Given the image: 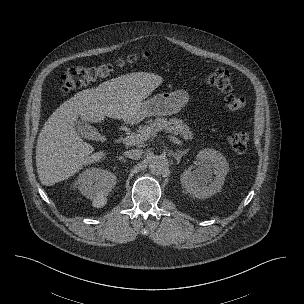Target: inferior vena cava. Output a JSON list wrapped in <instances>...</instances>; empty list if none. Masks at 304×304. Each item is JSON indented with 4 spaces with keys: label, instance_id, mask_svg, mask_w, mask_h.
Segmentation results:
<instances>
[{
    "label": "inferior vena cava",
    "instance_id": "inferior-vena-cava-1",
    "mask_svg": "<svg viewBox=\"0 0 304 304\" xmlns=\"http://www.w3.org/2000/svg\"><path fill=\"white\" fill-rule=\"evenodd\" d=\"M143 151L140 149H131L129 151L124 152V156L127 158L138 160L141 158Z\"/></svg>",
    "mask_w": 304,
    "mask_h": 304
}]
</instances>
